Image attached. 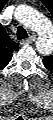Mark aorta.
<instances>
[{"label": "aorta", "instance_id": "obj_1", "mask_svg": "<svg viewBox=\"0 0 53 120\" xmlns=\"http://www.w3.org/2000/svg\"><path fill=\"white\" fill-rule=\"evenodd\" d=\"M18 12L21 21L38 33L37 49L42 53L46 52L52 43L51 22L40 13L29 8H19Z\"/></svg>", "mask_w": 53, "mask_h": 120}]
</instances>
